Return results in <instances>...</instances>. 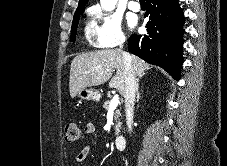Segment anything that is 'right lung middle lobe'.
Here are the masks:
<instances>
[{
  "label": "right lung middle lobe",
  "mask_w": 227,
  "mask_h": 166,
  "mask_svg": "<svg viewBox=\"0 0 227 166\" xmlns=\"http://www.w3.org/2000/svg\"><path fill=\"white\" fill-rule=\"evenodd\" d=\"M83 8H77L75 15H74V19H73V23H72V27H71V37H70V41L75 42V36H76V32H77V25L79 22V16L82 12Z\"/></svg>",
  "instance_id": "obj_1"
}]
</instances>
